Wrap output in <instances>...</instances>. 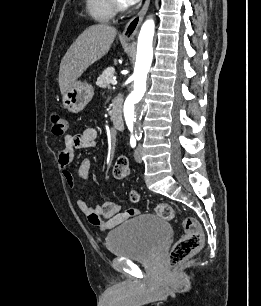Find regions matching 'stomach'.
Returning a JSON list of instances; mask_svg holds the SVG:
<instances>
[{"mask_svg": "<svg viewBox=\"0 0 261 306\" xmlns=\"http://www.w3.org/2000/svg\"><path fill=\"white\" fill-rule=\"evenodd\" d=\"M94 95L93 86L87 82L76 81L62 97L63 106L72 113L81 112Z\"/></svg>", "mask_w": 261, "mask_h": 306, "instance_id": "obj_1", "label": "stomach"}]
</instances>
